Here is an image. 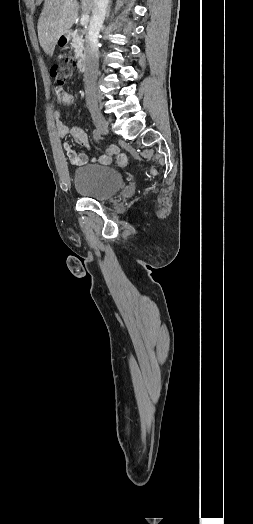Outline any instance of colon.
Here are the masks:
<instances>
[{"label":"colon","mask_w":253,"mask_h":524,"mask_svg":"<svg viewBox=\"0 0 253 524\" xmlns=\"http://www.w3.org/2000/svg\"><path fill=\"white\" fill-rule=\"evenodd\" d=\"M62 65H53L50 68V74L55 80V89H62L66 80L70 77L72 70L77 66V54L76 53H63ZM117 162L119 165L124 166L128 163V157L121 153L117 156Z\"/></svg>","instance_id":"colon-1"}]
</instances>
